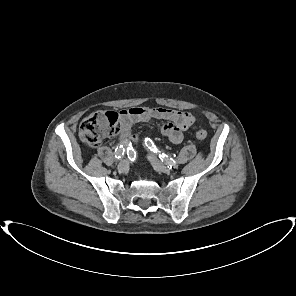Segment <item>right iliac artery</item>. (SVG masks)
Wrapping results in <instances>:
<instances>
[{
	"label": "right iliac artery",
	"mask_w": 296,
	"mask_h": 296,
	"mask_svg": "<svg viewBox=\"0 0 296 296\" xmlns=\"http://www.w3.org/2000/svg\"><path fill=\"white\" fill-rule=\"evenodd\" d=\"M124 152H125V148L123 145L117 146L115 149V157L117 159L121 158L124 155Z\"/></svg>",
	"instance_id": "82829eb1"
}]
</instances>
